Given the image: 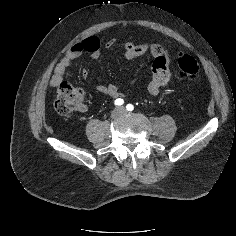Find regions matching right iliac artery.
<instances>
[{"label":"right iliac artery","mask_w":236,"mask_h":236,"mask_svg":"<svg viewBox=\"0 0 236 236\" xmlns=\"http://www.w3.org/2000/svg\"><path fill=\"white\" fill-rule=\"evenodd\" d=\"M114 104H115L116 106H121V105L124 104V100L121 99V98H118V99H116V100L114 101Z\"/></svg>","instance_id":"obj_1"}]
</instances>
